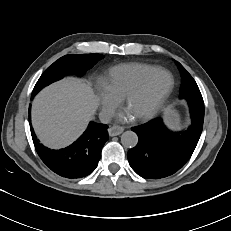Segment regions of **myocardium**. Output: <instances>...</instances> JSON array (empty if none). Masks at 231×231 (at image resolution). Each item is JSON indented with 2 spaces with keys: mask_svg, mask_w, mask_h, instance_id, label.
Instances as JSON below:
<instances>
[{
  "mask_svg": "<svg viewBox=\"0 0 231 231\" xmlns=\"http://www.w3.org/2000/svg\"><path fill=\"white\" fill-rule=\"evenodd\" d=\"M167 74L170 77V84L164 94L160 97V99L156 102V104L147 112L142 113L136 116V119L144 121L149 120L155 117L165 106L167 101L169 100L170 96L173 93L175 87V79L172 73L165 69H158L157 71L153 72L152 74L148 75L144 79H142L136 86H134L123 98V103L125 106L130 102V100L143 91L155 78H157L160 74Z\"/></svg>",
  "mask_w": 231,
  "mask_h": 231,
  "instance_id": "obj_1",
  "label": "myocardium"
}]
</instances>
